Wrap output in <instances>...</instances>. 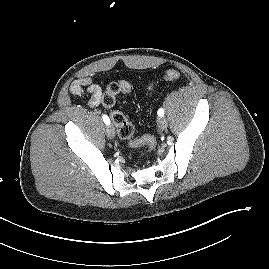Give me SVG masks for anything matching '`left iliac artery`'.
Returning <instances> with one entry per match:
<instances>
[{"label": "left iliac artery", "mask_w": 269, "mask_h": 269, "mask_svg": "<svg viewBox=\"0 0 269 269\" xmlns=\"http://www.w3.org/2000/svg\"><path fill=\"white\" fill-rule=\"evenodd\" d=\"M158 116L163 117L164 116V110L160 108L157 112Z\"/></svg>", "instance_id": "left-iliac-artery-1"}]
</instances>
